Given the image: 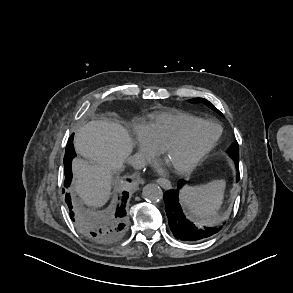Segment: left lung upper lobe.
Returning a JSON list of instances; mask_svg holds the SVG:
<instances>
[{
	"label": "left lung upper lobe",
	"mask_w": 293,
	"mask_h": 293,
	"mask_svg": "<svg viewBox=\"0 0 293 293\" xmlns=\"http://www.w3.org/2000/svg\"><path fill=\"white\" fill-rule=\"evenodd\" d=\"M199 101H202L204 104L209 106L211 109H213L214 111L221 114V112L218 109H216L215 106L206 99L196 98V99L191 100V102H199ZM228 153L234 159L235 162L239 161V146H238L237 141L233 142L232 145L228 148Z\"/></svg>",
	"instance_id": "1"
}]
</instances>
